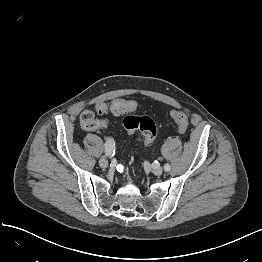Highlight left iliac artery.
Here are the masks:
<instances>
[{
	"mask_svg": "<svg viewBox=\"0 0 262 262\" xmlns=\"http://www.w3.org/2000/svg\"><path fill=\"white\" fill-rule=\"evenodd\" d=\"M171 169V166L168 164V163H166L165 165H164V170L165 171H169Z\"/></svg>",
	"mask_w": 262,
	"mask_h": 262,
	"instance_id": "1",
	"label": "left iliac artery"
}]
</instances>
